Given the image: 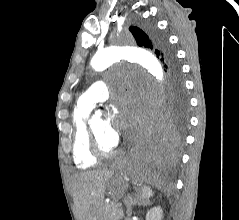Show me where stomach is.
I'll use <instances>...</instances> for the list:
<instances>
[{"mask_svg":"<svg viewBox=\"0 0 239 220\" xmlns=\"http://www.w3.org/2000/svg\"><path fill=\"white\" fill-rule=\"evenodd\" d=\"M111 186H124V191L129 187L128 183H111ZM124 191H119V192H124Z\"/></svg>","mask_w":239,"mask_h":220,"instance_id":"obj_1","label":"stomach"}]
</instances>
